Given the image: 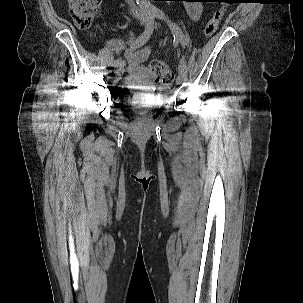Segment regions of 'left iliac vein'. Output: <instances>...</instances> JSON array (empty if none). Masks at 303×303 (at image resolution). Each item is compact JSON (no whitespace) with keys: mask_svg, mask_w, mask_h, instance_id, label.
Masks as SVG:
<instances>
[{"mask_svg":"<svg viewBox=\"0 0 303 303\" xmlns=\"http://www.w3.org/2000/svg\"><path fill=\"white\" fill-rule=\"evenodd\" d=\"M186 80H187V73L185 72L184 69L179 67V75H178L177 83L181 84V83L185 82Z\"/></svg>","mask_w":303,"mask_h":303,"instance_id":"4c4485c4","label":"left iliac vein"}]
</instances>
